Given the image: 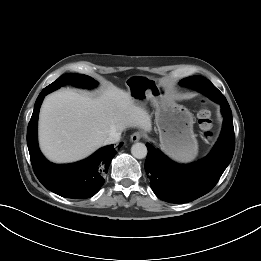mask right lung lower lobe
<instances>
[{
  "label": "right lung lower lobe",
  "mask_w": 261,
  "mask_h": 261,
  "mask_svg": "<svg viewBox=\"0 0 261 261\" xmlns=\"http://www.w3.org/2000/svg\"><path fill=\"white\" fill-rule=\"evenodd\" d=\"M60 86L62 85L44 88L35 102L27 129L30 159L35 175L48 190L66 198L86 199L95 195L103 185L104 175L117 152L113 145H109L83 161L63 165L53 164L43 157L37 141L39 109L44 96Z\"/></svg>",
  "instance_id": "1"
}]
</instances>
